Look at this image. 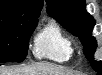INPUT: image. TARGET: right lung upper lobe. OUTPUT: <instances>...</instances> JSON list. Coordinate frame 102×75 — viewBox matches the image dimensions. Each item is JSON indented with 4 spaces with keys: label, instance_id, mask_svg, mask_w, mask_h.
<instances>
[{
    "label": "right lung upper lobe",
    "instance_id": "1",
    "mask_svg": "<svg viewBox=\"0 0 102 75\" xmlns=\"http://www.w3.org/2000/svg\"><path fill=\"white\" fill-rule=\"evenodd\" d=\"M43 3V0H0V12L37 16Z\"/></svg>",
    "mask_w": 102,
    "mask_h": 75
}]
</instances>
